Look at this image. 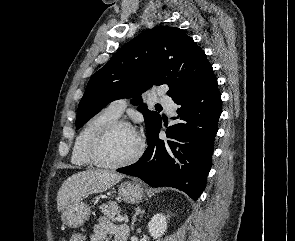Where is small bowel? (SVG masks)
Masks as SVG:
<instances>
[{
    "instance_id": "small-bowel-1",
    "label": "small bowel",
    "mask_w": 295,
    "mask_h": 241,
    "mask_svg": "<svg viewBox=\"0 0 295 241\" xmlns=\"http://www.w3.org/2000/svg\"><path fill=\"white\" fill-rule=\"evenodd\" d=\"M129 229L126 226L117 225L105 217H101L93 226L89 241H104L111 237L112 241H127Z\"/></svg>"
}]
</instances>
